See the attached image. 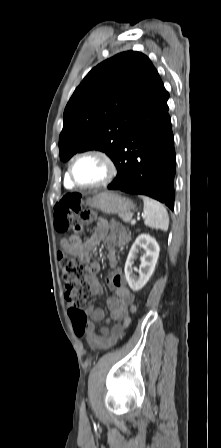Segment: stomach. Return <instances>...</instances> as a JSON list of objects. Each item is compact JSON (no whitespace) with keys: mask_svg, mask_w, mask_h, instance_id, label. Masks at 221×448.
I'll return each mask as SVG.
<instances>
[{"mask_svg":"<svg viewBox=\"0 0 221 448\" xmlns=\"http://www.w3.org/2000/svg\"><path fill=\"white\" fill-rule=\"evenodd\" d=\"M87 204L106 214L131 215L134 204L115 192L104 191L87 200Z\"/></svg>","mask_w":221,"mask_h":448,"instance_id":"stomach-1","label":"stomach"}]
</instances>
